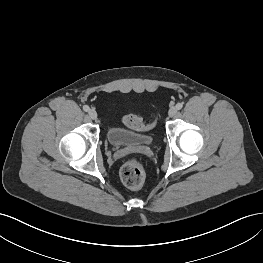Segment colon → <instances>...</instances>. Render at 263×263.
Returning <instances> with one entry per match:
<instances>
[{"instance_id":"1","label":"colon","mask_w":263,"mask_h":263,"mask_svg":"<svg viewBox=\"0 0 263 263\" xmlns=\"http://www.w3.org/2000/svg\"><path fill=\"white\" fill-rule=\"evenodd\" d=\"M124 122L135 130H148L152 124H145L141 118L130 114L125 116ZM120 178L122 182L129 188L137 189L142 186L145 179L144 165L137 158L127 159L120 168Z\"/></svg>"}]
</instances>
